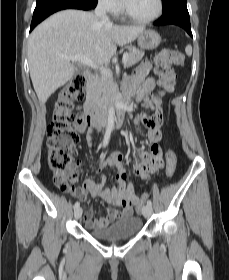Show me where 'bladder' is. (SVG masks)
Returning <instances> with one entry per match:
<instances>
[{
	"mask_svg": "<svg viewBox=\"0 0 229 280\" xmlns=\"http://www.w3.org/2000/svg\"><path fill=\"white\" fill-rule=\"evenodd\" d=\"M143 227V221L135 216L120 218L104 228H89V233L102 240L115 241L128 239L139 234Z\"/></svg>",
	"mask_w": 229,
	"mask_h": 280,
	"instance_id": "bladder-1",
	"label": "bladder"
}]
</instances>
